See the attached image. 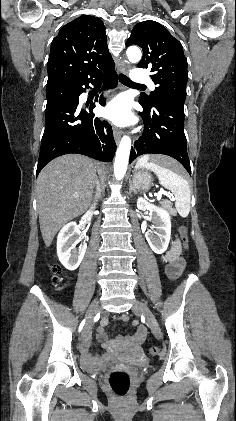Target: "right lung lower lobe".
<instances>
[{
    "mask_svg": "<svg viewBox=\"0 0 236 421\" xmlns=\"http://www.w3.org/2000/svg\"><path fill=\"white\" fill-rule=\"evenodd\" d=\"M98 81H104L105 89L116 87V72L114 69L105 70L93 77L70 82L68 87L74 98L46 106L45 130L36 175L52 159L69 153L83 154L105 162L112 161L116 144L110 124L99 120L92 113L95 104L79 107L80 94L89 88V83L95 84ZM99 104L104 106L105 99L99 100Z\"/></svg>",
    "mask_w": 236,
    "mask_h": 421,
    "instance_id": "98d812e1",
    "label": "right lung lower lobe"
}]
</instances>
